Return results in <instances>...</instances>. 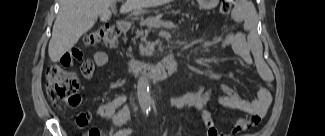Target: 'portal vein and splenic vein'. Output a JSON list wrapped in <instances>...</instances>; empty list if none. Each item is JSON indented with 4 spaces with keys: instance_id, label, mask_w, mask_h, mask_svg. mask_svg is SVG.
Returning <instances> with one entry per match:
<instances>
[{
    "instance_id": "portal-vein-and-splenic-vein-1",
    "label": "portal vein and splenic vein",
    "mask_w": 325,
    "mask_h": 136,
    "mask_svg": "<svg viewBox=\"0 0 325 136\" xmlns=\"http://www.w3.org/2000/svg\"><path fill=\"white\" fill-rule=\"evenodd\" d=\"M148 22H149L148 25H153L154 24V20L152 18H150L148 20ZM156 24H159V25H162V26H170V27L173 26V23L172 22H165V21H161V20H158L156 22Z\"/></svg>"
}]
</instances>
